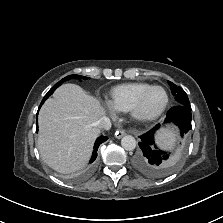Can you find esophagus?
<instances>
[{"label": "esophagus", "mask_w": 223, "mask_h": 223, "mask_svg": "<svg viewBox=\"0 0 223 223\" xmlns=\"http://www.w3.org/2000/svg\"><path fill=\"white\" fill-rule=\"evenodd\" d=\"M126 134L125 130H118L115 133L116 138L120 139L121 137H123Z\"/></svg>", "instance_id": "esophagus-1"}]
</instances>
